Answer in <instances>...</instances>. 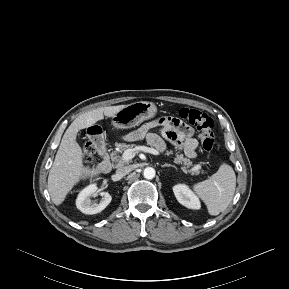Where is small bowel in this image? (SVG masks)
Here are the masks:
<instances>
[{"label":"small bowel","instance_id":"obj_1","mask_svg":"<svg viewBox=\"0 0 289 289\" xmlns=\"http://www.w3.org/2000/svg\"><path fill=\"white\" fill-rule=\"evenodd\" d=\"M160 125L161 136L155 134L152 129ZM192 129L176 118H167L159 123H148L142 126L136 133L139 138H145L159 150L165 148L163 138L172 142L175 146L183 149L189 158L196 156L198 141L192 136Z\"/></svg>","mask_w":289,"mask_h":289}]
</instances>
